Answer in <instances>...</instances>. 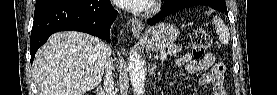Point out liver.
<instances>
[{"instance_id": "6515ba94", "label": "liver", "mask_w": 277, "mask_h": 95, "mask_svg": "<svg viewBox=\"0 0 277 95\" xmlns=\"http://www.w3.org/2000/svg\"><path fill=\"white\" fill-rule=\"evenodd\" d=\"M110 55V46L89 34H53L33 63L39 95H84L101 83Z\"/></svg>"}]
</instances>
